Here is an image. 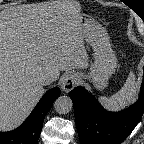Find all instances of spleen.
<instances>
[{"mask_svg":"<svg viewBox=\"0 0 144 144\" xmlns=\"http://www.w3.org/2000/svg\"><path fill=\"white\" fill-rule=\"evenodd\" d=\"M139 87L140 83L136 80L134 72L131 71L124 86L117 93L111 97L101 96L99 101L104 108L110 111L119 110L136 99Z\"/></svg>","mask_w":144,"mask_h":144,"instance_id":"3e777b00","label":"spleen"}]
</instances>
